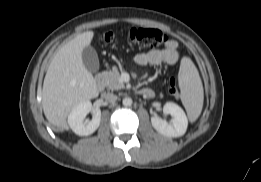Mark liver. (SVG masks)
Returning <instances> with one entry per match:
<instances>
[{
	"mask_svg": "<svg viewBox=\"0 0 261 182\" xmlns=\"http://www.w3.org/2000/svg\"><path fill=\"white\" fill-rule=\"evenodd\" d=\"M93 36V31H86L61 47L45 75L43 111L47 120L60 131L68 129L67 116L75 106L99 94L94 77L82 61V51L90 45Z\"/></svg>",
	"mask_w": 261,
	"mask_h": 182,
	"instance_id": "obj_1",
	"label": "liver"
}]
</instances>
